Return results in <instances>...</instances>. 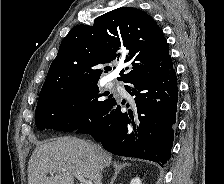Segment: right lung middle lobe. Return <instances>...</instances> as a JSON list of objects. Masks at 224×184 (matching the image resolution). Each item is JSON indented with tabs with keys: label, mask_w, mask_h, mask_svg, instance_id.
I'll list each match as a JSON object with an SVG mask.
<instances>
[{
	"label": "right lung middle lobe",
	"mask_w": 224,
	"mask_h": 184,
	"mask_svg": "<svg viewBox=\"0 0 224 184\" xmlns=\"http://www.w3.org/2000/svg\"><path fill=\"white\" fill-rule=\"evenodd\" d=\"M97 82L72 85L37 103L35 123L39 130L72 132L96 120L114 99L102 100Z\"/></svg>",
	"instance_id": "dd1d6c3e"
}]
</instances>
